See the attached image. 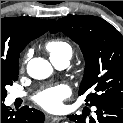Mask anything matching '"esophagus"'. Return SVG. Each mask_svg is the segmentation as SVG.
Instances as JSON below:
<instances>
[{
    "label": "esophagus",
    "instance_id": "obj_1",
    "mask_svg": "<svg viewBox=\"0 0 123 123\" xmlns=\"http://www.w3.org/2000/svg\"><path fill=\"white\" fill-rule=\"evenodd\" d=\"M47 119L53 122H59L61 120H63V117H59V116H53V115H48Z\"/></svg>",
    "mask_w": 123,
    "mask_h": 123
}]
</instances>
